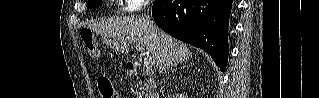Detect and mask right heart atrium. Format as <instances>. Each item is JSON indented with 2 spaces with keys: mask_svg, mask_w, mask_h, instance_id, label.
Segmentation results:
<instances>
[{
  "mask_svg": "<svg viewBox=\"0 0 319 98\" xmlns=\"http://www.w3.org/2000/svg\"><path fill=\"white\" fill-rule=\"evenodd\" d=\"M124 2L126 4L125 11H128V12L138 10L142 8L143 6H145L147 3V1H144V0H126Z\"/></svg>",
  "mask_w": 319,
  "mask_h": 98,
  "instance_id": "d8ad5b80",
  "label": "right heart atrium"
}]
</instances>
